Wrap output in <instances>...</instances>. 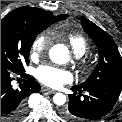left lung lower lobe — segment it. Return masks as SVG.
<instances>
[{
  "label": "left lung lower lobe",
  "instance_id": "0a47b994",
  "mask_svg": "<svg viewBox=\"0 0 122 122\" xmlns=\"http://www.w3.org/2000/svg\"><path fill=\"white\" fill-rule=\"evenodd\" d=\"M121 90L113 87L81 89L73 86L72 91L74 93L85 91L87 95H84L83 100H80L79 95H69V105L62 112V117L68 122H89L97 120L112 109Z\"/></svg>",
  "mask_w": 122,
  "mask_h": 122
}]
</instances>
